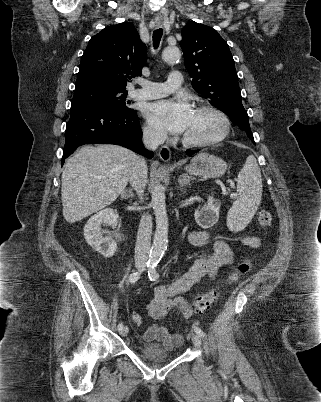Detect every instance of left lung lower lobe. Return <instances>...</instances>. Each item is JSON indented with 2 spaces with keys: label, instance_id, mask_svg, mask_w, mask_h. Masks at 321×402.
Here are the masks:
<instances>
[{
  "label": "left lung lower lobe",
  "instance_id": "obj_1",
  "mask_svg": "<svg viewBox=\"0 0 321 402\" xmlns=\"http://www.w3.org/2000/svg\"><path fill=\"white\" fill-rule=\"evenodd\" d=\"M253 142H254V140H253ZM199 150H187L186 151V154L188 155V156H191V155H193L194 153H196V152H198Z\"/></svg>",
  "mask_w": 321,
  "mask_h": 402
}]
</instances>
